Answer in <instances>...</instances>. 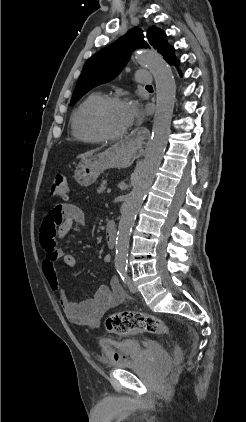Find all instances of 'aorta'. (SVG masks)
I'll list each match as a JSON object with an SVG mask.
<instances>
[{
	"label": "aorta",
	"instance_id": "762f6f07",
	"mask_svg": "<svg viewBox=\"0 0 246 422\" xmlns=\"http://www.w3.org/2000/svg\"><path fill=\"white\" fill-rule=\"evenodd\" d=\"M137 60L153 74L156 83V112L152 136L145 158L137 169L130 192L119 222L116 238L115 266L125 269L130 235L138 210L151 187L160 166L170 133L176 84L172 70L165 60L153 52H140Z\"/></svg>",
	"mask_w": 246,
	"mask_h": 422
}]
</instances>
